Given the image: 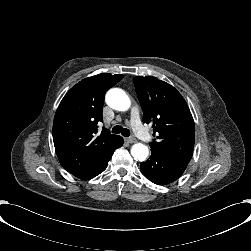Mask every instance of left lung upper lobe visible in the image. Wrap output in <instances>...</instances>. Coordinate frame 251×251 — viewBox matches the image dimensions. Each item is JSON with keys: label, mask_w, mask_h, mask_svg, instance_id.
I'll list each match as a JSON object with an SVG mask.
<instances>
[{"label": "left lung upper lobe", "mask_w": 251, "mask_h": 251, "mask_svg": "<svg viewBox=\"0 0 251 251\" xmlns=\"http://www.w3.org/2000/svg\"><path fill=\"white\" fill-rule=\"evenodd\" d=\"M143 110V122L152 124L151 151L173 160L189 163L192 158L195 126L180 93L170 84L151 76L133 78Z\"/></svg>", "instance_id": "obj_1"}]
</instances>
